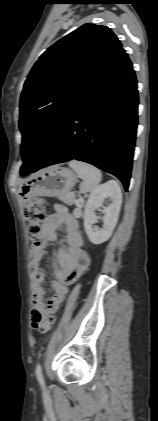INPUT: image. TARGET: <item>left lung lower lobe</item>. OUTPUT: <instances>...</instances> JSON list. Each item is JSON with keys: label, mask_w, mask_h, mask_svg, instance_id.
Segmentation results:
<instances>
[{"label": "left lung lower lobe", "mask_w": 158, "mask_h": 421, "mask_svg": "<svg viewBox=\"0 0 158 421\" xmlns=\"http://www.w3.org/2000/svg\"><path fill=\"white\" fill-rule=\"evenodd\" d=\"M137 107L136 76L121 47L67 111L38 164L21 175L76 159L115 175L127 190Z\"/></svg>", "instance_id": "0a47b994"}]
</instances>
